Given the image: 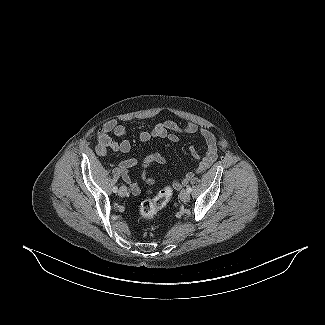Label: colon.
Wrapping results in <instances>:
<instances>
[{
	"mask_svg": "<svg viewBox=\"0 0 325 325\" xmlns=\"http://www.w3.org/2000/svg\"><path fill=\"white\" fill-rule=\"evenodd\" d=\"M173 194V188L171 185H165L158 194L153 197L144 200L140 205V215L143 218L154 217L161 209L166 207Z\"/></svg>",
	"mask_w": 325,
	"mask_h": 325,
	"instance_id": "obj_1",
	"label": "colon"
}]
</instances>
